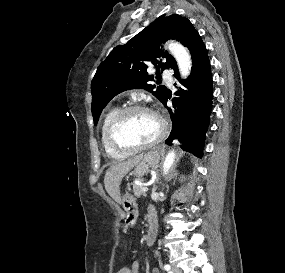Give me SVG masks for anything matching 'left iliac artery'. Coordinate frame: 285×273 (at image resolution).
<instances>
[{"label": "left iliac artery", "instance_id": "left-iliac-artery-1", "mask_svg": "<svg viewBox=\"0 0 285 273\" xmlns=\"http://www.w3.org/2000/svg\"><path fill=\"white\" fill-rule=\"evenodd\" d=\"M164 269H165L166 271H169V270L171 269V266H170L169 264H165V265H164ZM169 273H171V272H169Z\"/></svg>", "mask_w": 285, "mask_h": 273}]
</instances>
